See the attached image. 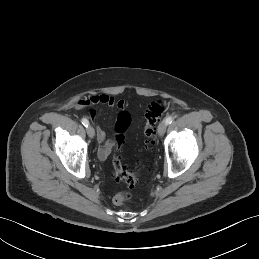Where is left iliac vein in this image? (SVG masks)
<instances>
[{
    "mask_svg": "<svg viewBox=\"0 0 259 259\" xmlns=\"http://www.w3.org/2000/svg\"><path fill=\"white\" fill-rule=\"evenodd\" d=\"M167 124L165 122H161L158 126V135L163 136L166 132Z\"/></svg>",
    "mask_w": 259,
    "mask_h": 259,
    "instance_id": "left-iliac-vein-1",
    "label": "left iliac vein"
}]
</instances>
